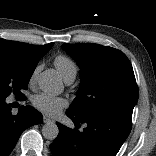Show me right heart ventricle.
Instances as JSON below:
<instances>
[{
	"mask_svg": "<svg viewBox=\"0 0 156 156\" xmlns=\"http://www.w3.org/2000/svg\"><path fill=\"white\" fill-rule=\"evenodd\" d=\"M54 65L64 80L68 78H75L77 73V66L73 60L64 55H59L54 60Z\"/></svg>",
	"mask_w": 156,
	"mask_h": 156,
	"instance_id": "e07e8e85",
	"label": "right heart ventricle"
}]
</instances>
